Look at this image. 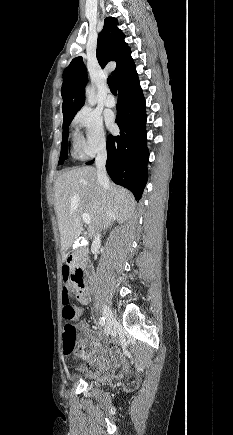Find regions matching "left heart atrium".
I'll return each mask as SVG.
<instances>
[{
  "label": "left heart atrium",
  "instance_id": "left-heart-atrium-1",
  "mask_svg": "<svg viewBox=\"0 0 233 435\" xmlns=\"http://www.w3.org/2000/svg\"><path fill=\"white\" fill-rule=\"evenodd\" d=\"M107 122L111 125L112 122H113V118H112V117H108V118H107Z\"/></svg>",
  "mask_w": 233,
  "mask_h": 435
}]
</instances>
